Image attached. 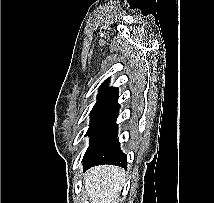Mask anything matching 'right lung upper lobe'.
<instances>
[{
  "mask_svg": "<svg viewBox=\"0 0 214 203\" xmlns=\"http://www.w3.org/2000/svg\"><path fill=\"white\" fill-rule=\"evenodd\" d=\"M109 80H105L100 89H99V94L98 98H108V99H114L117 100L118 98V88L116 87H108Z\"/></svg>",
  "mask_w": 214,
  "mask_h": 203,
  "instance_id": "cb5924a9",
  "label": "right lung upper lobe"
}]
</instances>
